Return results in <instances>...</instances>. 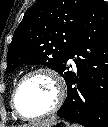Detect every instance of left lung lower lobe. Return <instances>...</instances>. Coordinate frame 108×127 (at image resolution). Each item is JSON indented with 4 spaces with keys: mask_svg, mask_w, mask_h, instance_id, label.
Masks as SVG:
<instances>
[{
    "mask_svg": "<svg viewBox=\"0 0 108 127\" xmlns=\"http://www.w3.org/2000/svg\"><path fill=\"white\" fill-rule=\"evenodd\" d=\"M74 55L78 56L76 69L65 67L68 95L57 115L85 127H108V5L104 0H88L68 60Z\"/></svg>",
    "mask_w": 108,
    "mask_h": 127,
    "instance_id": "left-lung-lower-lobe-1",
    "label": "left lung lower lobe"
}]
</instances>
